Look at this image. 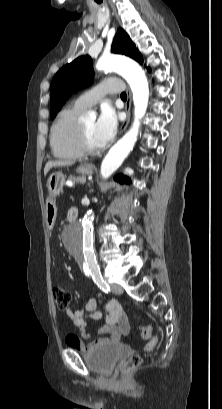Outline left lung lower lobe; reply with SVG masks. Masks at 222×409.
<instances>
[{"instance_id": "obj_1", "label": "left lung lower lobe", "mask_w": 222, "mask_h": 409, "mask_svg": "<svg viewBox=\"0 0 222 409\" xmlns=\"http://www.w3.org/2000/svg\"><path fill=\"white\" fill-rule=\"evenodd\" d=\"M114 179H115L116 181H119L120 183H129V179H128L127 177L121 175V174L115 176Z\"/></svg>"}]
</instances>
